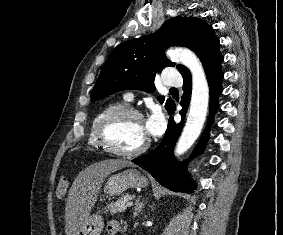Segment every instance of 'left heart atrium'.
Returning <instances> with one entry per match:
<instances>
[{
  "label": "left heart atrium",
  "instance_id": "39dd6f15",
  "mask_svg": "<svg viewBox=\"0 0 283 235\" xmlns=\"http://www.w3.org/2000/svg\"><path fill=\"white\" fill-rule=\"evenodd\" d=\"M165 128V122L162 116L152 115L144 122V130L147 136H158Z\"/></svg>",
  "mask_w": 283,
  "mask_h": 235
}]
</instances>
